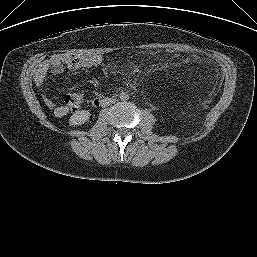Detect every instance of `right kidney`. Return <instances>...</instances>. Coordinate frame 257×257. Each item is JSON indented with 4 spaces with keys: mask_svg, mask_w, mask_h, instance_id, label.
Here are the masks:
<instances>
[{
    "mask_svg": "<svg viewBox=\"0 0 257 257\" xmlns=\"http://www.w3.org/2000/svg\"><path fill=\"white\" fill-rule=\"evenodd\" d=\"M90 118V113L88 111L82 110V111H77L74 113L70 119H69V124L70 126H76V125H82L86 121H88Z\"/></svg>",
    "mask_w": 257,
    "mask_h": 257,
    "instance_id": "1",
    "label": "right kidney"
}]
</instances>
